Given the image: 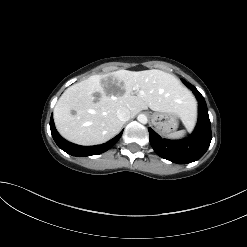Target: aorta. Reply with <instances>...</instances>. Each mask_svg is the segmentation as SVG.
Returning <instances> with one entry per match:
<instances>
[{
	"instance_id": "762f6f07",
	"label": "aorta",
	"mask_w": 247,
	"mask_h": 247,
	"mask_svg": "<svg viewBox=\"0 0 247 247\" xmlns=\"http://www.w3.org/2000/svg\"><path fill=\"white\" fill-rule=\"evenodd\" d=\"M137 120L142 124H146L148 122V118L145 114H139Z\"/></svg>"
}]
</instances>
